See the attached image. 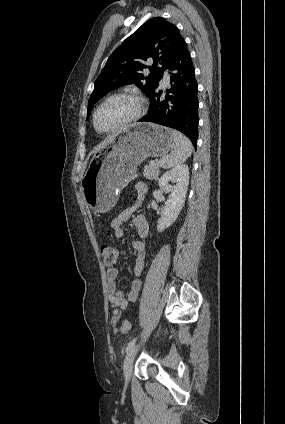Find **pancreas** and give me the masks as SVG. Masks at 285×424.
I'll return each instance as SVG.
<instances>
[{"instance_id":"obj_1","label":"pancreas","mask_w":285,"mask_h":424,"mask_svg":"<svg viewBox=\"0 0 285 424\" xmlns=\"http://www.w3.org/2000/svg\"><path fill=\"white\" fill-rule=\"evenodd\" d=\"M159 175V164L155 162L154 164H149L144 167L143 176L146 179L153 180L157 179Z\"/></svg>"}]
</instances>
